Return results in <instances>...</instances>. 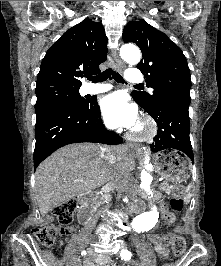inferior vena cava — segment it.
Here are the masks:
<instances>
[{"label": "inferior vena cava", "instance_id": "inferior-vena-cava-1", "mask_svg": "<svg viewBox=\"0 0 221 266\" xmlns=\"http://www.w3.org/2000/svg\"><path fill=\"white\" fill-rule=\"evenodd\" d=\"M101 154L102 157L111 165H113L116 161V155L112 151L111 147H101ZM111 181L113 187L117 191H122L126 188V182H127V176L121 174V173H112L111 175Z\"/></svg>", "mask_w": 221, "mask_h": 266}]
</instances>
